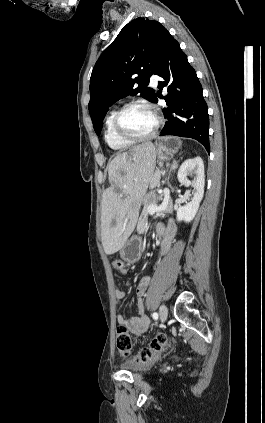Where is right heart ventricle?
<instances>
[{"mask_svg":"<svg viewBox=\"0 0 265 423\" xmlns=\"http://www.w3.org/2000/svg\"><path fill=\"white\" fill-rule=\"evenodd\" d=\"M117 111L118 109L111 110L106 118L104 139L112 150L121 152L129 149L134 143L126 142L116 135L113 128V120Z\"/></svg>","mask_w":265,"mask_h":423,"instance_id":"e07e8e85","label":"right heart ventricle"}]
</instances>
